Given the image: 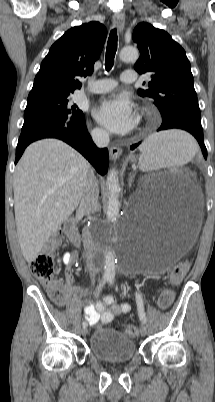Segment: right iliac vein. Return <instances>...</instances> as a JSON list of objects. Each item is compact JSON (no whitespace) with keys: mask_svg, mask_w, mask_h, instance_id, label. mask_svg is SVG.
Instances as JSON below:
<instances>
[{"mask_svg":"<svg viewBox=\"0 0 215 402\" xmlns=\"http://www.w3.org/2000/svg\"><path fill=\"white\" fill-rule=\"evenodd\" d=\"M81 333H82L83 336L87 335V333H88L87 327H83L82 330H81Z\"/></svg>","mask_w":215,"mask_h":402,"instance_id":"obj_1","label":"right iliac vein"}]
</instances>
